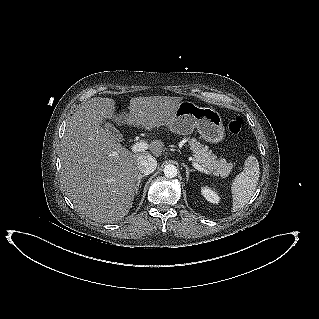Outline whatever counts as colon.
Listing matches in <instances>:
<instances>
[{
  "mask_svg": "<svg viewBox=\"0 0 319 319\" xmlns=\"http://www.w3.org/2000/svg\"><path fill=\"white\" fill-rule=\"evenodd\" d=\"M243 129V120L239 117L233 118L228 123V130L231 134L239 135Z\"/></svg>",
  "mask_w": 319,
  "mask_h": 319,
  "instance_id": "colon-1",
  "label": "colon"
}]
</instances>
